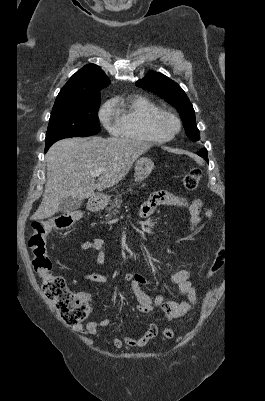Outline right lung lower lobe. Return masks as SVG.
<instances>
[{
    "mask_svg": "<svg viewBox=\"0 0 265 401\" xmlns=\"http://www.w3.org/2000/svg\"><path fill=\"white\" fill-rule=\"evenodd\" d=\"M49 145H46V147H45V152H47V150L49 149Z\"/></svg>",
    "mask_w": 265,
    "mask_h": 401,
    "instance_id": "right-lung-lower-lobe-1",
    "label": "right lung lower lobe"
}]
</instances>
